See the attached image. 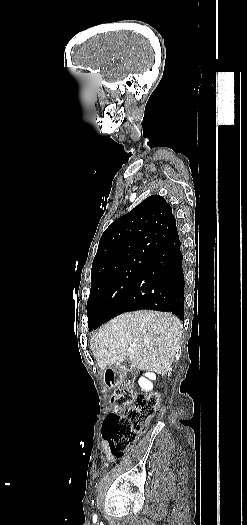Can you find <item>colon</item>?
<instances>
[{
  "mask_svg": "<svg viewBox=\"0 0 247 525\" xmlns=\"http://www.w3.org/2000/svg\"><path fill=\"white\" fill-rule=\"evenodd\" d=\"M160 396H137L130 387L117 388L112 396L115 411L105 418L102 435L109 453L122 458L158 408Z\"/></svg>",
  "mask_w": 247,
  "mask_h": 525,
  "instance_id": "1",
  "label": "colon"
}]
</instances>
